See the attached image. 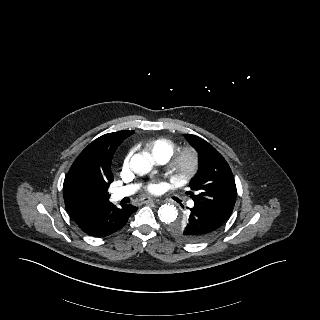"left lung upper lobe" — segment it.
Returning a JSON list of instances; mask_svg holds the SVG:
<instances>
[{"mask_svg":"<svg viewBox=\"0 0 320 320\" xmlns=\"http://www.w3.org/2000/svg\"><path fill=\"white\" fill-rule=\"evenodd\" d=\"M185 138L199 155L198 172L189 183L195 194L191 191L187 194H190L195 205L226 221L236 202L233 173L224 157L207 141L191 134H186ZM169 230L182 241L198 242L188 233L185 219L172 222Z\"/></svg>","mask_w":320,"mask_h":320,"instance_id":"5c2ea615","label":"left lung upper lobe"}]
</instances>
